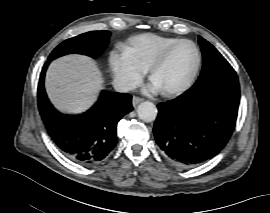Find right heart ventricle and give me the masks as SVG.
<instances>
[{
  "mask_svg": "<svg viewBox=\"0 0 270 213\" xmlns=\"http://www.w3.org/2000/svg\"><path fill=\"white\" fill-rule=\"evenodd\" d=\"M177 40L179 38L142 34L132 38L129 45L123 47L122 52L131 64L146 69L163 49Z\"/></svg>",
  "mask_w": 270,
  "mask_h": 213,
  "instance_id": "right-heart-ventricle-1",
  "label": "right heart ventricle"
}]
</instances>
